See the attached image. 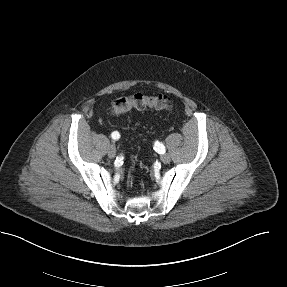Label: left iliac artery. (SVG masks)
Instances as JSON below:
<instances>
[{
	"label": "left iliac artery",
	"instance_id": "left-iliac-artery-1",
	"mask_svg": "<svg viewBox=\"0 0 287 287\" xmlns=\"http://www.w3.org/2000/svg\"><path fill=\"white\" fill-rule=\"evenodd\" d=\"M154 150H156V152H158L160 154H163L166 151L165 146L158 141H156L154 144Z\"/></svg>",
	"mask_w": 287,
	"mask_h": 287
}]
</instances>
